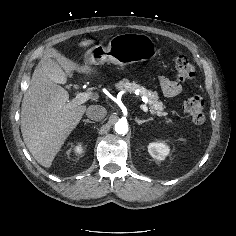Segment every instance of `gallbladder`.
<instances>
[{
    "label": "gallbladder",
    "mask_w": 236,
    "mask_h": 236,
    "mask_svg": "<svg viewBox=\"0 0 236 236\" xmlns=\"http://www.w3.org/2000/svg\"><path fill=\"white\" fill-rule=\"evenodd\" d=\"M49 65L47 74L51 80L57 83H62L66 77L60 65L54 60H48Z\"/></svg>",
    "instance_id": "gallbladder-1"
}]
</instances>
